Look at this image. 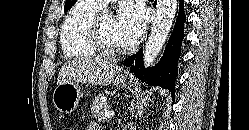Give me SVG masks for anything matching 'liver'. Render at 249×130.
<instances>
[{"label": "liver", "instance_id": "liver-1", "mask_svg": "<svg viewBox=\"0 0 249 130\" xmlns=\"http://www.w3.org/2000/svg\"><path fill=\"white\" fill-rule=\"evenodd\" d=\"M120 71V66L99 58L74 59L61 67L57 85L79 82L108 85Z\"/></svg>", "mask_w": 249, "mask_h": 130}]
</instances>
